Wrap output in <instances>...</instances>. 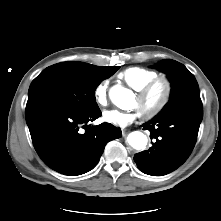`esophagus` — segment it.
<instances>
[{
    "mask_svg": "<svg viewBox=\"0 0 221 221\" xmlns=\"http://www.w3.org/2000/svg\"><path fill=\"white\" fill-rule=\"evenodd\" d=\"M128 132H129L128 130H125V129L122 130V136L125 137L128 134Z\"/></svg>",
    "mask_w": 221,
    "mask_h": 221,
    "instance_id": "34e87169",
    "label": "esophagus"
}]
</instances>
